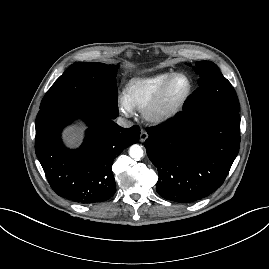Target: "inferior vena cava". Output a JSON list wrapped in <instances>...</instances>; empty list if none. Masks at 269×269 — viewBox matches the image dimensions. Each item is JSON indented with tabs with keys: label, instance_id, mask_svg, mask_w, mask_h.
<instances>
[{
	"label": "inferior vena cava",
	"instance_id": "inferior-vena-cava-1",
	"mask_svg": "<svg viewBox=\"0 0 269 269\" xmlns=\"http://www.w3.org/2000/svg\"><path fill=\"white\" fill-rule=\"evenodd\" d=\"M117 124L121 127H124V128H129L132 126V122L125 119V118H122V117H119L117 119Z\"/></svg>",
	"mask_w": 269,
	"mask_h": 269
}]
</instances>
